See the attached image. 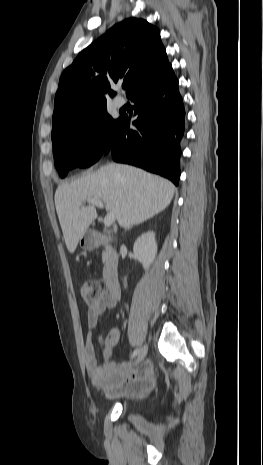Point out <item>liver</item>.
<instances>
[{"mask_svg":"<svg viewBox=\"0 0 263 465\" xmlns=\"http://www.w3.org/2000/svg\"><path fill=\"white\" fill-rule=\"evenodd\" d=\"M175 192L173 183L142 169L116 163L58 186L55 206L66 247L74 253L80 238L94 225L96 208L83 207L84 200L100 199L118 224L129 228L162 212Z\"/></svg>","mask_w":263,"mask_h":465,"instance_id":"1","label":"liver"}]
</instances>
